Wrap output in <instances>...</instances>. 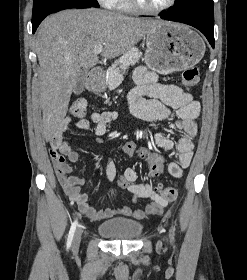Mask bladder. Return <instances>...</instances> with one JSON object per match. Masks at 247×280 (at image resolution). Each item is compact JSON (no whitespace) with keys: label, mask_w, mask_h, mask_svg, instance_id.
I'll list each match as a JSON object with an SVG mask.
<instances>
[{"label":"bladder","mask_w":247,"mask_h":280,"mask_svg":"<svg viewBox=\"0 0 247 280\" xmlns=\"http://www.w3.org/2000/svg\"><path fill=\"white\" fill-rule=\"evenodd\" d=\"M97 230L105 238L133 240L141 235L143 225L127 218H113L100 223Z\"/></svg>","instance_id":"bladder-1"}]
</instances>
